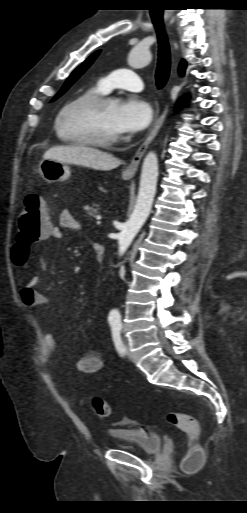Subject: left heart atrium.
Segmentation results:
<instances>
[{"mask_svg": "<svg viewBox=\"0 0 247 513\" xmlns=\"http://www.w3.org/2000/svg\"><path fill=\"white\" fill-rule=\"evenodd\" d=\"M153 110L148 102L129 96L118 104L114 125L119 134H133L144 130L151 122Z\"/></svg>", "mask_w": 247, "mask_h": 513, "instance_id": "39dd6f15", "label": "left heart atrium"}]
</instances>
